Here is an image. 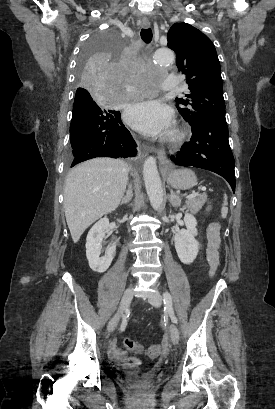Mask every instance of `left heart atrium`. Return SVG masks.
<instances>
[{"label": "left heart atrium", "mask_w": 275, "mask_h": 409, "mask_svg": "<svg viewBox=\"0 0 275 409\" xmlns=\"http://www.w3.org/2000/svg\"><path fill=\"white\" fill-rule=\"evenodd\" d=\"M172 119L171 109L156 100H140L132 103L126 110L127 122L134 129L148 136L168 132Z\"/></svg>", "instance_id": "left-heart-atrium-1"}]
</instances>
